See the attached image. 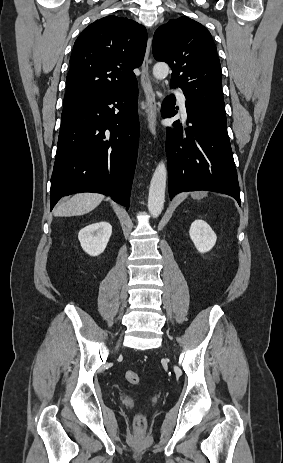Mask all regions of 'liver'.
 Here are the masks:
<instances>
[{
  "label": "liver",
  "instance_id": "obj_1",
  "mask_svg": "<svg viewBox=\"0 0 283 463\" xmlns=\"http://www.w3.org/2000/svg\"><path fill=\"white\" fill-rule=\"evenodd\" d=\"M104 196L98 193H79L61 202L54 210V216L70 217L87 214L94 210Z\"/></svg>",
  "mask_w": 283,
  "mask_h": 463
}]
</instances>
